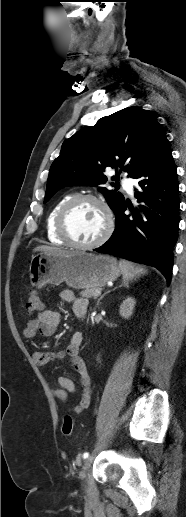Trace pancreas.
I'll list each match as a JSON object with an SVG mask.
<instances>
[{"label":"pancreas","mask_w":186,"mask_h":517,"mask_svg":"<svg viewBox=\"0 0 186 517\" xmlns=\"http://www.w3.org/2000/svg\"><path fill=\"white\" fill-rule=\"evenodd\" d=\"M99 290L98 288H88V289H85L84 291H81L80 292V295L82 297H85V298H96L97 296H95V292Z\"/></svg>","instance_id":"pancreas-1"}]
</instances>
